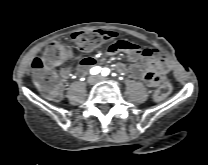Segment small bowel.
Wrapping results in <instances>:
<instances>
[{"label": "small bowel", "mask_w": 208, "mask_h": 165, "mask_svg": "<svg viewBox=\"0 0 208 165\" xmlns=\"http://www.w3.org/2000/svg\"><path fill=\"white\" fill-rule=\"evenodd\" d=\"M104 40L113 41L107 48V55L113 56L117 53H124L132 62L141 61L131 67H127L123 63H116L114 66L121 74L131 73L133 76L142 79L148 86L155 87L163 79L165 73L170 68V62L162 54L158 53L155 49L144 48L142 49L135 42L116 39L117 32L113 30L102 31ZM98 64L97 58H84L81 60L80 65L84 69L92 68ZM76 65L74 62L69 61L62 65L61 76L67 78L70 73L74 72Z\"/></svg>", "instance_id": "1"}]
</instances>
